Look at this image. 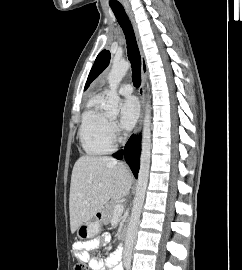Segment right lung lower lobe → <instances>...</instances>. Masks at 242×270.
<instances>
[{
    "label": "right lung lower lobe",
    "instance_id": "1",
    "mask_svg": "<svg viewBox=\"0 0 242 270\" xmlns=\"http://www.w3.org/2000/svg\"><path fill=\"white\" fill-rule=\"evenodd\" d=\"M140 139L132 135L125 147V160L137 178L139 170Z\"/></svg>",
    "mask_w": 242,
    "mask_h": 270
}]
</instances>
